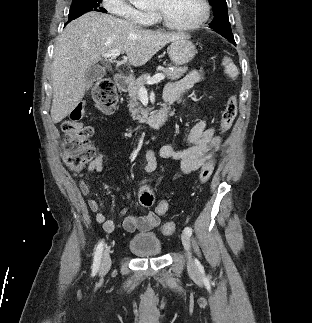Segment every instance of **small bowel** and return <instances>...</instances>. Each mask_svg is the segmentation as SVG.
<instances>
[{
    "label": "small bowel",
    "mask_w": 312,
    "mask_h": 323,
    "mask_svg": "<svg viewBox=\"0 0 312 323\" xmlns=\"http://www.w3.org/2000/svg\"><path fill=\"white\" fill-rule=\"evenodd\" d=\"M203 80V75L198 70H192L183 78L176 82L168 84L165 90V100L169 103L176 101L183 93L194 85ZM220 138L215 133V127H207L205 120L199 121L190 130L187 138V146L184 148H176L173 145H164L159 151L150 149L146 152V163L144 170L152 173L157 168V155L168 161H178L184 173L191 174L196 172L206 163L212 161L218 147ZM104 160L102 156L95 157L88 165L90 172H101ZM79 190L82 195L90 194V187L84 181L79 182ZM89 209L96 213V221L102 224L107 232H113L117 225L112 220L107 219L106 215L100 211V204L95 199L88 200ZM153 211L145 215H129L127 208L119 213L121 226L128 232L149 231L160 224V218Z\"/></svg>",
    "instance_id": "c3829d8e"
}]
</instances>
